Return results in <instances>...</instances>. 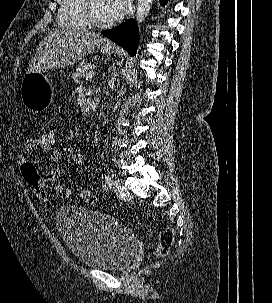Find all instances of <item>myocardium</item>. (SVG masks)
<instances>
[{"mask_svg":"<svg viewBox=\"0 0 272 303\" xmlns=\"http://www.w3.org/2000/svg\"><path fill=\"white\" fill-rule=\"evenodd\" d=\"M82 14L87 24L94 28H107L110 26L109 21H101L94 15L92 8V0H83Z\"/></svg>","mask_w":272,"mask_h":303,"instance_id":"f54148a6","label":"myocardium"}]
</instances>
